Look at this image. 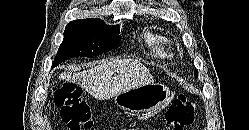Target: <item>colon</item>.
Segmentation results:
<instances>
[{
	"instance_id": "5ec220e1",
	"label": "colon",
	"mask_w": 249,
	"mask_h": 130,
	"mask_svg": "<svg viewBox=\"0 0 249 130\" xmlns=\"http://www.w3.org/2000/svg\"><path fill=\"white\" fill-rule=\"evenodd\" d=\"M53 100L60 109L63 122L70 130H93L95 128L90 108L82 98V89L76 84L64 83L54 87ZM194 112L195 104L184 94L178 95L165 114L164 128L183 130L193 122Z\"/></svg>"
}]
</instances>
